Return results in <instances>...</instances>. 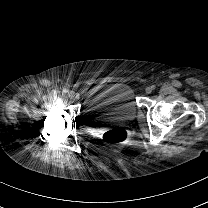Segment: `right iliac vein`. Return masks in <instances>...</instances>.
Segmentation results:
<instances>
[{
    "label": "right iliac vein",
    "instance_id": "right-iliac-vein-1",
    "mask_svg": "<svg viewBox=\"0 0 208 208\" xmlns=\"http://www.w3.org/2000/svg\"><path fill=\"white\" fill-rule=\"evenodd\" d=\"M69 98L74 99L75 98V92L71 91L68 94Z\"/></svg>",
    "mask_w": 208,
    "mask_h": 208
}]
</instances>
